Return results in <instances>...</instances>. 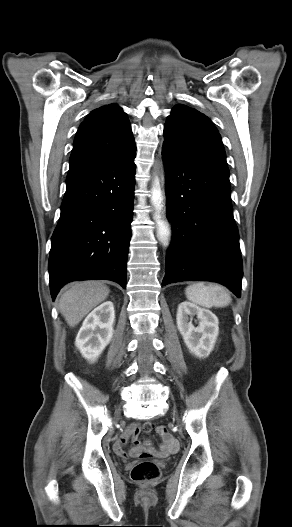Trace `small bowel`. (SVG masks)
Returning <instances> with one entry per match:
<instances>
[{"mask_svg": "<svg viewBox=\"0 0 292 527\" xmlns=\"http://www.w3.org/2000/svg\"><path fill=\"white\" fill-rule=\"evenodd\" d=\"M151 429L152 427L147 431H150ZM156 429L158 434L162 437V443L158 450L154 449L149 443H146L145 446H142L137 440V435L141 430H144V428L143 426L141 427L137 424H131L125 429L120 438L116 441L114 445L115 452L121 457H126L124 445L129 439H132L134 442V447L131 449V453L134 456L145 457L146 460L152 461L155 459L157 454L158 459L161 461L173 460L175 457L174 452L178 448L177 441L169 433L167 434L168 429L166 426H156Z\"/></svg>", "mask_w": 292, "mask_h": 527, "instance_id": "obj_1", "label": "small bowel"}]
</instances>
